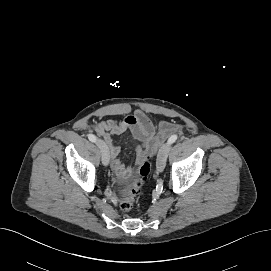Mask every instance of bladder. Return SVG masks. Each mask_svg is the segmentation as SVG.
<instances>
[{
	"label": "bladder",
	"instance_id": "31cf9c89",
	"mask_svg": "<svg viewBox=\"0 0 271 271\" xmlns=\"http://www.w3.org/2000/svg\"><path fill=\"white\" fill-rule=\"evenodd\" d=\"M129 190H124L123 194L126 196L128 194Z\"/></svg>",
	"mask_w": 271,
	"mask_h": 271
}]
</instances>
